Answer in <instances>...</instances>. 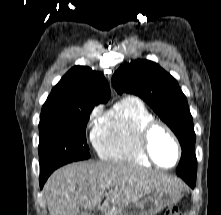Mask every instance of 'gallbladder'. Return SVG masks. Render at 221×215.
I'll use <instances>...</instances> for the list:
<instances>
[{"label": "gallbladder", "instance_id": "gallbladder-1", "mask_svg": "<svg viewBox=\"0 0 221 215\" xmlns=\"http://www.w3.org/2000/svg\"><path fill=\"white\" fill-rule=\"evenodd\" d=\"M79 215H91V214L86 210H81Z\"/></svg>", "mask_w": 221, "mask_h": 215}]
</instances>
